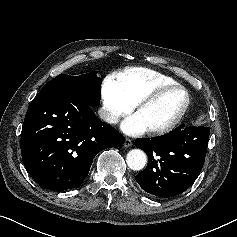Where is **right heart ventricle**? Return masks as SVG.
Masks as SVG:
<instances>
[{"label": "right heart ventricle", "instance_id": "1", "mask_svg": "<svg viewBox=\"0 0 237 237\" xmlns=\"http://www.w3.org/2000/svg\"><path fill=\"white\" fill-rule=\"evenodd\" d=\"M113 76L122 93L134 105L157 88L177 83L170 76L146 68H128Z\"/></svg>", "mask_w": 237, "mask_h": 237}]
</instances>
